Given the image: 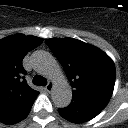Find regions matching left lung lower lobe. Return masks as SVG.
Masks as SVG:
<instances>
[{
    "instance_id": "1",
    "label": "left lung lower lobe",
    "mask_w": 128,
    "mask_h": 128,
    "mask_svg": "<svg viewBox=\"0 0 128 128\" xmlns=\"http://www.w3.org/2000/svg\"><path fill=\"white\" fill-rule=\"evenodd\" d=\"M106 104L91 101L72 100L69 107L59 109L60 115L74 123H82L96 117Z\"/></svg>"
}]
</instances>
